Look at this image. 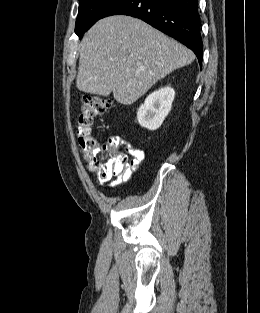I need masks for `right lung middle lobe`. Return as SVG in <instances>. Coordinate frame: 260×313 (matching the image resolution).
<instances>
[{
    "label": "right lung middle lobe",
    "instance_id": "dd1d6c3e",
    "mask_svg": "<svg viewBox=\"0 0 260 313\" xmlns=\"http://www.w3.org/2000/svg\"><path fill=\"white\" fill-rule=\"evenodd\" d=\"M116 1L118 0H79L75 33L81 38Z\"/></svg>",
    "mask_w": 260,
    "mask_h": 313
}]
</instances>
